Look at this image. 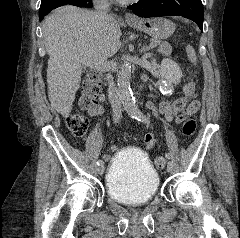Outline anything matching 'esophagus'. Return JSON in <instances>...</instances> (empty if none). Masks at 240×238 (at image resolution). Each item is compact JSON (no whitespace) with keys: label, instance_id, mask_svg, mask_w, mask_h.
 Here are the masks:
<instances>
[{"label":"esophagus","instance_id":"34e87169","mask_svg":"<svg viewBox=\"0 0 240 238\" xmlns=\"http://www.w3.org/2000/svg\"><path fill=\"white\" fill-rule=\"evenodd\" d=\"M124 17L127 20H135L136 19V17L133 14L129 13V12L125 13Z\"/></svg>","mask_w":240,"mask_h":238}]
</instances>
